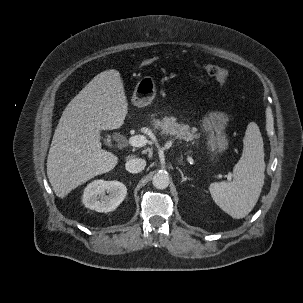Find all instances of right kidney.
<instances>
[{
  "instance_id": "right-kidney-1",
  "label": "right kidney",
  "mask_w": 303,
  "mask_h": 303,
  "mask_svg": "<svg viewBox=\"0 0 303 303\" xmlns=\"http://www.w3.org/2000/svg\"><path fill=\"white\" fill-rule=\"evenodd\" d=\"M126 194V186L119 181L95 180L85 188L82 202L91 210L111 212L122 203Z\"/></svg>"
}]
</instances>
